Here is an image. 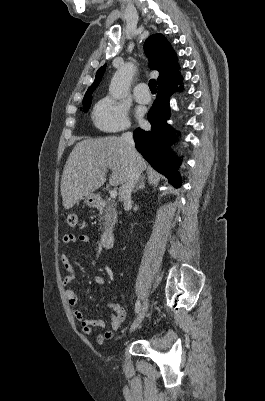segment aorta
Masks as SVG:
<instances>
[{
  "label": "aorta",
  "instance_id": "762f6f07",
  "mask_svg": "<svg viewBox=\"0 0 265 401\" xmlns=\"http://www.w3.org/2000/svg\"><path fill=\"white\" fill-rule=\"evenodd\" d=\"M135 70L136 66L133 62H125L123 68L116 70L109 84V94H111L113 98H124L126 86L129 84L130 80H132Z\"/></svg>",
  "mask_w": 265,
  "mask_h": 401
}]
</instances>
